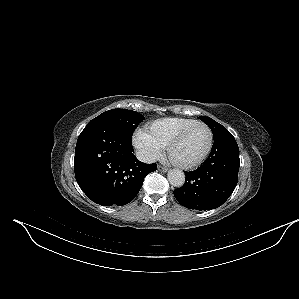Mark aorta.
<instances>
[{
    "label": "aorta",
    "instance_id": "1",
    "mask_svg": "<svg viewBox=\"0 0 299 299\" xmlns=\"http://www.w3.org/2000/svg\"><path fill=\"white\" fill-rule=\"evenodd\" d=\"M168 180L174 187H182L185 183V174L179 169H171L168 172Z\"/></svg>",
    "mask_w": 299,
    "mask_h": 299
}]
</instances>
